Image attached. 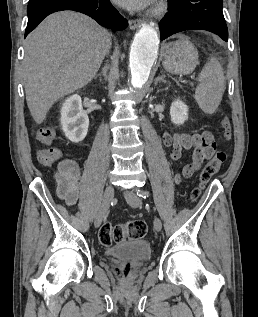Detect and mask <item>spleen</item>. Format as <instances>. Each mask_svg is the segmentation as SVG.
<instances>
[{
	"instance_id": "3e777b00",
	"label": "spleen",
	"mask_w": 258,
	"mask_h": 317,
	"mask_svg": "<svg viewBox=\"0 0 258 317\" xmlns=\"http://www.w3.org/2000/svg\"><path fill=\"white\" fill-rule=\"evenodd\" d=\"M195 98L206 114H213L218 108L225 90L224 72L217 58H210L199 76Z\"/></svg>"
}]
</instances>
